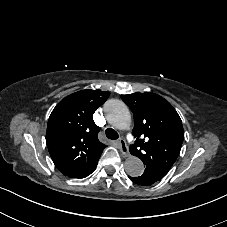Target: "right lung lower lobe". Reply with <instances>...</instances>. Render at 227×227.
Wrapping results in <instances>:
<instances>
[{"instance_id": "obj_1", "label": "right lung lower lobe", "mask_w": 227, "mask_h": 227, "mask_svg": "<svg viewBox=\"0 0 227 227\" xmlns=\"http://www.w3.org/2000/svg\"><path fill=\"white\" fill-rule=\"evenodd\" d=\"M97 163H98V161L93 163L90 167H88L85 171H82V172L78 171L77 173H74L72 171V175H70V170L71 169H67L65 172H62V173L67 175L68 177H72V178H84V177L90 175L95 170V168L97 166Z\"/></svg>"}]
</instances>
